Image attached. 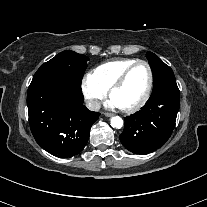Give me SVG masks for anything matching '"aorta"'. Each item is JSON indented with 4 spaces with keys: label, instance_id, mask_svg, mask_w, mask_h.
Masks as SVG:
<instances>
[{
    "label": "aorta",
    "instance_id": "1",
    "mask_svg": "<svg viewBox=\"0 0 207 207\" xmlns=\"http://www.w3.org/2000/svg\"><path fill=\"white\" fill-rule=\"evenodd\" d=\"M110 125L115 129H120L123 126V120L119 116H114L111 118Z\"/></svg>",
    "mask_w": 207,
    "mask_h": 207
}]
</instances>
